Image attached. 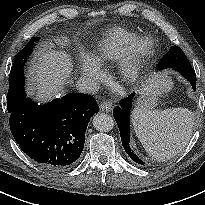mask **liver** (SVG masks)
Returning <instances> with one entry per match:
<instances>
[{"label":"liver","mask_w":205,"mask_h":205,"mask_svg":"<svg viewBox=\"0 0 205 205\" xmlns=\"http://www.w3.org/2000/svg\"><path fill=\"white\" fill-rule=\"evenodd\" d=\"M71 60L63 52H56L46 46L41 47L32 60L28 71L29 85L38 100L57 97L63 90L65 80L71 71ZM159 84L166 90L170 84L164 74H154L146 80L142 91H150Z\"/></svg>","instance_id":"liver-1"}]
</instances>
